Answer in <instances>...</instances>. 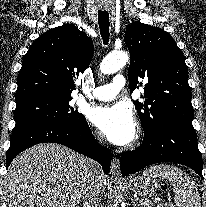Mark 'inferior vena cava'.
I'll return each mask as SVG.
<instances>
[{
  "mask_svg": "<svg viewBox=\"0 0 206 207\" xmlns=\"http://www.w3.org/2000/svg\"><path fill=\"white\" fill-rule=\"evenodd\" d=\"M89 175V185L84 196V204L86 205V207H100L99 191L102 171L100 165L97 162L90 161Z\"/></svg>",
  "mask_w": 206,
  "mask_h": 207,
  "instance_id": "602c4592",
  "label": "inferior vena cava"
}]
</instances>
